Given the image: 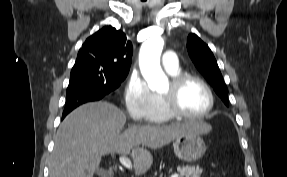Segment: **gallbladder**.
<instances>
[{
  "instance_id": "bac80fb5",
  "label": "gallbladder",
  "mask_w": 287,
  "mask_h": 177,
  "mask_svg": "<svg viewBox=\"0 0 287 177\" xmlns=\"http://www.w3.org/2000/svg\"><path fill=\"white\" fill-rule=\"evenodd\" d=\"M103 173H104V170H102V169H98V170H97V174H98V175H101V174H103Z\"/></svg>"
}]
</instances>
